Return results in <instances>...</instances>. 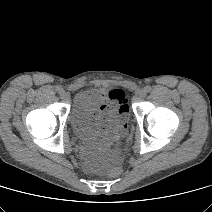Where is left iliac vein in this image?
I'll return each instance as SVG.
<instances>
[{
    "instance_id": "4c4485c4",
    "label": "left iliac vein",
    "mask_w": 212,
    "mask_h": 212,
    "mask_svg": "<svg viewBox=\"0 0 212 212\" xmlns=\"http://www.w3.org/2000/svg\"><path fill=\"white\" fill-rule=\"evenodd\" d=\"M146 90L145 89H140V90H138L137 91V95H138V97H140V98H143V97H145L146 96Z\"/></svg>"
}]
</instances>
